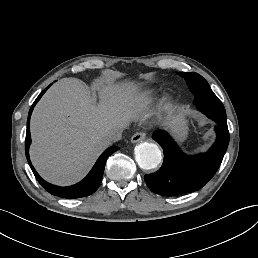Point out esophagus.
Masks as SVG:
<instances>
[{"mask_svg": "<svg viewBox=\"0 0 258 258\" xmlns=\"http://www.w3.org/2000/svg\"><path fill=\"white\" fill-rule=\"evenodd\" d=\"M146 134L144 132H136L132 137H131V142L132 143H137L141 142L145 139Z\"/></svg>", "mask_w": 258, "mask_h": 258, "instance_id": "obj_1", "label": "esophagus"}]
</instances>
